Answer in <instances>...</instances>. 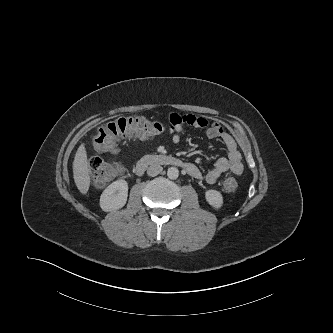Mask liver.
Returning <instances> with one entry per match:
<instances>
[{
	"mask_svg": "<svg viewBox=\"0 0 333 333\" xmlns=\"http://www.w3.org/2000/svg\"><path fill=\"white\" fill-rule=\"evenodd\" d=\"M90 167L87 157L85 144L82 143L74 157L73 178L78 190L85 195L90 187Z\"/></svg>",
	"mask_w": 333,
	"mask_h": 333,
	"instance_id": "obj_1",
	"label": "liver"
}]
</instances>
